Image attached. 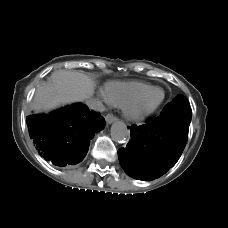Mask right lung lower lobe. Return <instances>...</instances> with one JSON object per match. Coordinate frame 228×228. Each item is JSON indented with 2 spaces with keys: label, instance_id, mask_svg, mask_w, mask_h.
<instances>
[{
  "label": "right lung lower lobe",
  "instance_id": "1",
  "mask_svg": "<svg viewBox=\"0 0 228 228\" xmlns=\"http://www.w3.org/2000/svg\"><path fill=\"white\" fill-rule=\"evenodd\" d=\"M26 123L30 138L44 159L65 166L82 161L94 133L104 128L105 119L76 103L48 115L27 116Z\"/></svg>",
  "mask_w": 228,
  "mask_h": 228
}]
</instances>
